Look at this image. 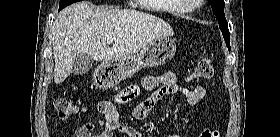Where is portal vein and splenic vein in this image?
I'll list each match as a JSON object with an SVG mask.
<instances>
[{
    "instance_id": "obj_1",
    "label": "portal vein and splenic vein",
    "mask_w": 280,
    "mask_h": 137,
    "mask_svg": "<svg viewBox=\"0 0 280 137\" xmlns=\"http://www.w3.org/2000/svg\"><path fill=\"white\" fill-rule=\"evenodd\" d=\"M116 41V38H111L109 42Z\"/></svg>"
}]
</instances>
